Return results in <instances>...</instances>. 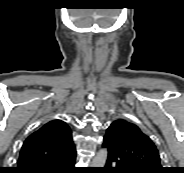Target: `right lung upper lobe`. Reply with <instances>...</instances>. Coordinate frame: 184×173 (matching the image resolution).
Returning <instances> with one entry per match:
<instances>
[{
    "instance_id": "right-lung-upper-lobe-1",
    "label": "right lung upper lobe",
    "mask_w": 184,
    "mask_h": 173,
    "mask_svg": "<svg viewBox=\"0 0 184 173\" xmlns=\"http://www.w3.org/2000/svg\"><path fill=\"white\" fill-rule=\"evenodd\" d=\"M75 151L69 126L62 120H52L25 140L16 171L58 160Z\"/></svg>"
}]
</instances>
